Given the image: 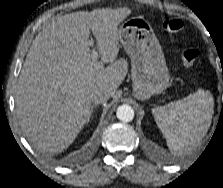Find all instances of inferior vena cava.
I'll return each instance as SVG.
<instances>
[{
  "label": "inferior vena cava",
  "mask_w": 223,
  "mask_h": 188,
  "mask_svg": "<svg viewBox=\"0 0 223 188\" xmlns=\"http://www.w3.org/2000/svg\"><path fill=\"white\" fill-rule=\"evenodd\" d=\"M110 97L108 91L103 88L95 89L90 94V100L92 103L100 104L106 102Z\"/></svg>",
  "instance_id": "inferior-vena-cava-1"
}]
</instances>
